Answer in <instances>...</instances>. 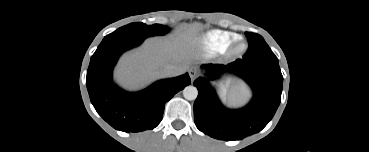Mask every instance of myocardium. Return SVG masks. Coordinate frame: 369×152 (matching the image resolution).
<instances>
[{
	"label": "myocardium",
	"mask_w": 369,
	"mask_h": 152,
	"mask_svg": "<svg viewBox=\"0 0 369 152\" xmlns=\"http://www.w3.org/2000/svg\"><path fill=\"white\" fill-rule=\"evenodd\" d=\"M248 44L243 39H237L230 45V54L232 56H240L246 52Z\"/></svg>",
	"instance_id": "obj_1"
}]
</instances>
